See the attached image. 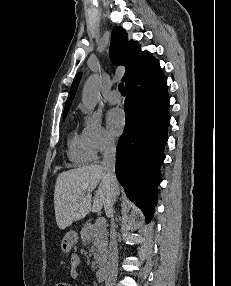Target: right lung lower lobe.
<instances>
[{
    "label": "right lung lower lobe",
    "instance_id": "obj_1",
    "mask_svg": "<svg viewBox=\"0 0 231 286\" xmlns=\"http://www.w3.org/2000/svg\"><path fill=\"white\" fill-rule=\"evenodd\" d=\"M125 129L116 148V176L126 195L152 218L170 123L167 80L161 69L126 84Z\"/></svg>",
    "mask_w": 231,
    "mask_h": 286
}]
</instances>
